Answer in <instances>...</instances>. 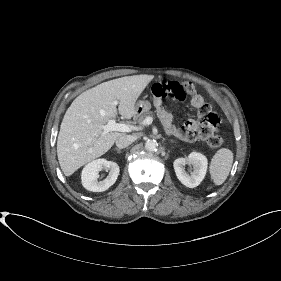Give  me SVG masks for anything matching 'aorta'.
<instances>
[{"mask_svg": "<svg viewBox=\"0 0 281 281\" xmlns=\"http://www.w3.org/2000/svg\"><path fill=\"white\" fill-rule=\"evenodd\" d=\"M145 148L150 152L156 151L158 148V142L154 139H148L145 142Z\"/></svg>", "mask_w": 281, "mask_h": 281, "instance_id": "obj_1", "label": "aorta"}]
</instances>
